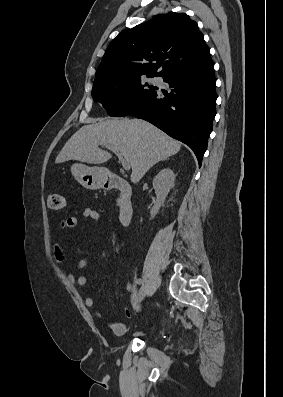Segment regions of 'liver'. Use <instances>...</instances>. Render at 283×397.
I'll return each instance as SVG.
<instances>
[{"mask_svg": "<svg viewBox=\"0 0 283 397\" xmlns=\"http://www.w3.org/2000/svg\"><path fill=\"white\" fill-rule=\"evenodd\" d=\"M103 144L117 148L129 162L133 183L139 182L155 163L181 149L178 141L146 121L110 119L80 128L66 142L55 162L78 160L102 164L112 157L99 148Z\"/></svg>", "mask_w": 283, "mask_h": 397, "instance_id": "obj_1", "label": "liver"}]
</instances>
